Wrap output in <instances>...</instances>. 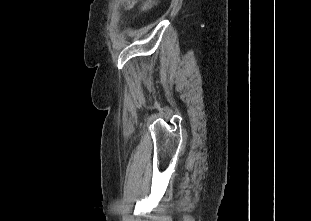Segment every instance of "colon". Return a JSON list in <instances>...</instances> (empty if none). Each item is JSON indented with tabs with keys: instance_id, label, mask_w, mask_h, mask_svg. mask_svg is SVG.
Instances as JSON below:
<instances>
[{
	"instance_id": "colon-1",
	"label": "colon",
	"mask_w": 311,
	"mask_h": 221,
	"mask_svg": "<svg viewBox=\"0 0 311 221\" xmlns=\"http://www.w3.org/2000/svg\"><path fill=\"white\" fill-rule=\"evenodd\" d=\"M158 2H159V0H144L142 3L143 11L150 10ZM121 6H122V8H135L136 3H135V1H122Z\"/></svg>"
}]
</instances>
